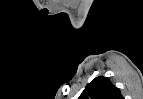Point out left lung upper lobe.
Returning <instances> with one entry per match:
<instances>
[{"instance_id": "1", "label": "left lung upper lobe", "mask_w": 143, "mask_h": 99, "mask_svg": "<svg viewBox=\"0 0 143 99\" xmlns=\"http://www.w3.org/2000/svg\"><path fill=\"white\" fill-rule=\"evenodd\" d=\"M78 99H123V97L109 78L98 76L87 84Z\"/></svg>"}]
</instances>
